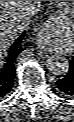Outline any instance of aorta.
<instances>
[{
  "mask_svg": "<svg viewBox=\"0 0 74 122\" xmlns=\"http://www.w3.org/2000/svg\"><path fill=\"white\" fill-rule=\"evenodd\" d=\"M49 72L57 76L66 75L69 71V61L61 55H52L46 61Z\"/></svg>",
  "mask_w": 74,
  "mask_h": 122,
  "instance_id": "aorta-1",
  "label": "aorta"
}]
</instances>
